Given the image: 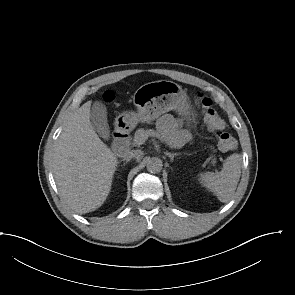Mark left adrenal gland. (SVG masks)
<instances>
[{
	"mask_svg": "<svg viewBox=\"0 0 295 295\" xmlns=\"http://www.w3.org/2000/svg\"><path fill=\"white\" fill-rule=\"evenodd\" d=\"M165 154L170 158L171 162L174 160L175 156L179 155V153H170V152H166Z\"/></svg>",
	"mask_w": 295,
	"mask_h": 295,
	"instance_id": "obj_1",
	"label": "left adrenal gland"
}]
</instances>
